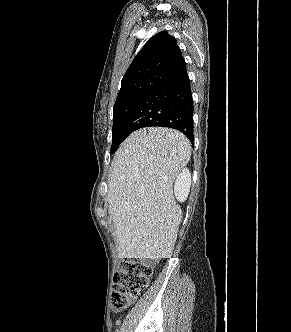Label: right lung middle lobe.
I'll return each mask as SVG.
<instances>
[{
	"label": "right lung middle lobe",
	"instance_id": "1",
	"mask_svg": "<svg viewBox=\"0 0 291 332\" xmlns=\"http://www.w3.org/2000/svg\"><path fill=\"white\" fill-rule=\"evenodd\" d=\"M152 90L141 91L129 96L116 100L113 107V128H112V147L110 152L113 153L121 142L127 137L124 133V127L133 115L139 103Z\"/></svg>",
	"mask_w": 291,
	"mask_h": 332
}]
</instances>
